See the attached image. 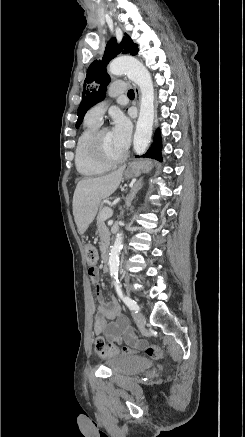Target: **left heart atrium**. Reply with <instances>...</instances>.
I'll use <instances>...</instances> for the list:
<instances>
[{"label": "left heart atrium", "instance_id": "left-heart-atrium-1", "mask_svg": "<svg viewBox=\"0 0 245 437\" xmlns=\"http://www.w3.org/2000/svg\"><path fill=\"white\" fill-rule=\"evenodd\" d=\"M111 133L118 147L125 152L130 144L131 124L124 115L118 113L113 117Z\"/></svg>", "mask_w": 245, "mask_h": 437}]
</instances>
